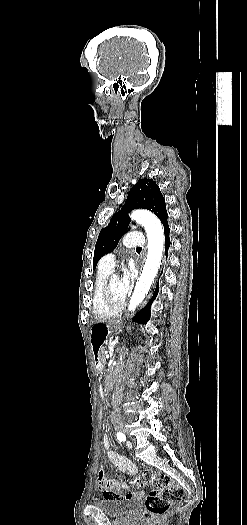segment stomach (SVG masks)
<instances>
[{"mask_svg": "<svg viewBox=\"0 0 247 525\" xmlns=\"http://www.w3.org/2000/svg\"><path fill=\"white\" fill-rule=\"evenodd\" d=\"M110 332V326L103 323L94 324L90 330L91 348L97 359V352Z\"/></svg>", "mask_w": 247, "mask_h": 525, "instance_id": "stomach-1", "label": "stomach"}]
</instances>
